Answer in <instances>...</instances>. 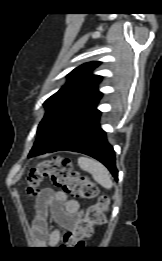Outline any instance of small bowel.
Masks as SVG:
<instances>
[{"mask_svg":"<svg viewBox=\"0 0 162 261\" xmlns=\"http://www.w3.org/2000/svg\"><path fill=\"white\" fill-rule=\"evenodd\" d=\"M36 208L37 216L34 223V232L37 236H40L44 232L49 216L64 227L70 235L80 214V204L78 201L69 198L65 191H53L49 188H45L39 193ZM60 240V232L54 230L47 238V245L56 247L59 245Z\"/></svg>","mask_w":162,"mask_h":261,"instance_id":"obj_1","label":"small bowel"}]
</instances>
